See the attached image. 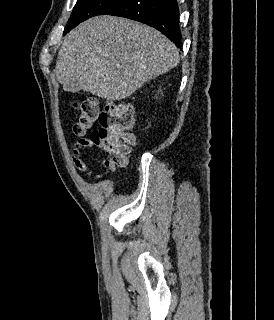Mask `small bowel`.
Listing matches in <instances>:
<instances>
[{"label": "small bowel", "mask_w": 274, "mask_h": 320, "mask_svg": "<svg viewBox=\"0 0 274 320\" xmlns=\"http://www.w3.org/2000/svg\"><path fill=\"white\" fill-rule=\"evenodd\" d=\"M93 144L87 138L79 139L76 142L75 149L72 152L71 160L73 165L81 172L87 173L90 176L99 177L101 174L94 173L84 162L82 150L91 147Z\"/></svg>", "instance_id": "1"}]
</instances>
